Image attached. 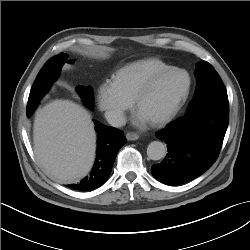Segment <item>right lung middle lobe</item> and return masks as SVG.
Returning a JSON list of instances; mask_svg holds the SVG:
<instances>
[{
	"mask_svg": "<svg viewBox=\"0 0 250 250\" xmlns=\"http://www.w3.org/2000/svg\"><path fill=\"white\" fill-rule=\"evenodd\" d=\"M67 58V54H61L60 56L53 57L40 70L29 94L26 110L27 116L35 110L41 98L49 90L53 82L58 79L62 66L65 62H67ZM69 62L73 63L74 61ZM77 91L85 104L89 107H93L94 95L92 87L80 86Z\"/></svg>",
	"mask_w": 250,
	"mask_h": 250,
	"instance_id": "dd1d6c3e",
	"label": "right lung middle lobe"
}]
</instances>
